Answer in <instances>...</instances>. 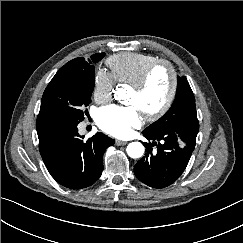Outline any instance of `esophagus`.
I'll return each instance as SVG.
<instances>
[{
  "instance_id": "obj_1",
  "label": "esophagus",
  "mask_w": 243,
  "mask_h": 243,
  "mask_svg": "<svg viewBox=\"0 0 243 243\" xmlns=\"http://www.w3.org/2000/svg\"><path fill=\"white\" fill-rule=\"evenodd\" d=\"M115 144H116L117 146H121V145H125V144H127V142H126V141H122V140H116V141H115Z\"/></svg>"
}]
</instances>
